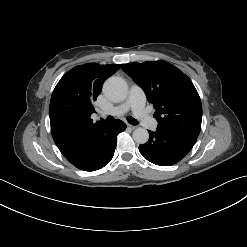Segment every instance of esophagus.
<instances>
[{"label":"esophagus","instance_id":"34e87169","mask_svg":"<svg viewBox=\"0 0 247 247\" xmlns=\"http://www.w3.org/2000/svg\"><path fill=\"white\" fill-rule=\"evenodd\" d=\"M127 127L130 128L131 130H134V129H136L137 126L131 125V124H127Z\"/></svg>","mask_w":247,"mask_h":247}]
</instances>
